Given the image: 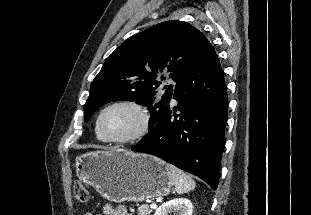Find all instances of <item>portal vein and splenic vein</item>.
<instances>
[{
	"label": "portal vein and splenic vein",
	"mask_w": 311,
	"mask_h": 215,
	"mask_svg": "<svg viewBox=\"0 0 311 215\" xmlns=\"http://www.w3.org/2000/svg\"><path fill=\"white\" fill-rule=\"evenodd\" d=\"M150 207L153 208V209H155V208H157V205H156L155 203H152V204L150 205Z\"/></svg>",
	"instance_id": "portal-vein-and-splenic-vein-1"
}]
</instances>
